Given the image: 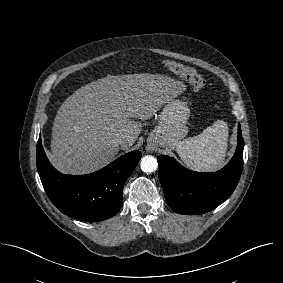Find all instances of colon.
<instances>
[{
  "label": "colon",
  "mask_w": 283,
  "mask_h": 283,
  "mask_svg": "<svg viewBox=\"0 0 283 283\" xmlns=\"http://www.w3.org/2000/svg\"><path fill=\"white\" fill-rule=\"evenodd\" d=\"M163 65L170 71L187 80L196 91H202L206 87L205 79L193 68L187 67L173 60H164Z\"/></svg>",
  "instance_id": "1"
}]
</instances>
